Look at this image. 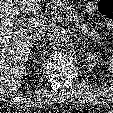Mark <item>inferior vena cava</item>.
Wrapping results in <instances>:
<instances>
[{"instance_id":"inferior-vena-cava-1","label":"inferior vena cava","mask_w":113,"mask_h":113,"mask_svg":"<svg viewBox=\"0 0 113 113\" xmlns=\"http://www.w3.org/2000/svg\"><path fill=\"white\" fill-rule=\"evenodd\" d=\"M48 30V25L47 24H43L40 25L36 28H34L33 30V38H37V37H43L44 33Z\"/></svg>"}]
</instances>
